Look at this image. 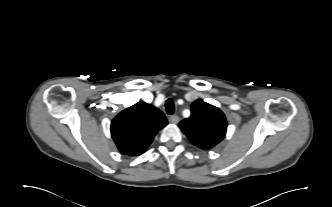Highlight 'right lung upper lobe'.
<instances>
[{"label": "right lung upper lobe", "mask_w": 332, "mask_h": 207, "mask_svg": "<svg viewBox=\"0 0 332 207\" xmlns=\"http://www.w3.org/2000/svg\"><path fill=\"white\" fill-rule=\"evenodd\" d=\"M166 125L165 115L159 109L139 101L113 119L111 135L122 154L137 156L146 150L156 133Z\"/></svg>", "instance_id": "1"}]
</instances>
